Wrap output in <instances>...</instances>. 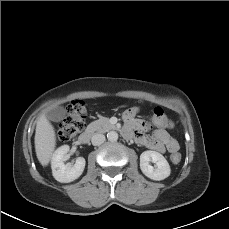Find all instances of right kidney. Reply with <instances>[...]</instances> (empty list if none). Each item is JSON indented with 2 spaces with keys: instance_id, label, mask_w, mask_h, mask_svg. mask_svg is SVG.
I'll use <instances>...</instances> for the list:
<instances>
[{
  "instance_id": "1",
  "label": "right kidney",
  "mask_w": 229,
  "mask_h": 229,
  "mask_svg": "<svg viewBox=\"0 0 229 229\" xmlns=\"http://www.w3.org/2000/svg\"><path fill=\"white\" fill-rule=\"evenodd\" d=\"M69 146L63 145L59 147L53 154L51 160L52 173L54 178L61 183H69L81 176L85 168V159L78 157L74 165L64 164L68 159L67 153Z\"/></svg>"
}]
</instances>
